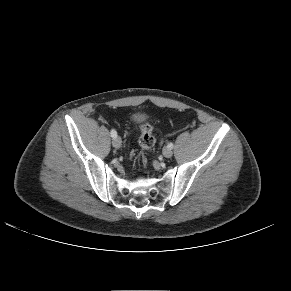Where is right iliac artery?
Returning <instances> with one entry per match:
<instances>
[{
  "instance_id": "right-iliac-artery-1",
  "label": "right iliac artery",
  "mask_w": 291,
  "mask_h": 291,
  "mask_svg": "<svg viewBox=\"0 0 291 291\" xmlns=\"http://www.w3.org/2000/svg\"><path fill=\"white\" fill-rule=\"evenodd\" d=\"M111 137L113 138L117 137V132L114 129L111 130Z\"/></svg>"
}]
</instances>
